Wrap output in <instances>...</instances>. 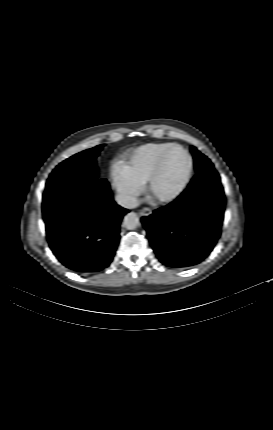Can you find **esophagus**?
<instances>
[{"mask_svg": "<svg viewBox=\"0 0 273 430\" xmlns=\"http://www.w3.org/2000/svg\"><path fill=\"white\" fill-rule=\"evenodd\" d=\"M152 214V210L150 208H143L140 210V215L141 216H150Z\"/></svg>", "mask_w": 273, "mask_h": 430, "instance_id": "obj_1", "label": "esophagus"}]
</instances>
